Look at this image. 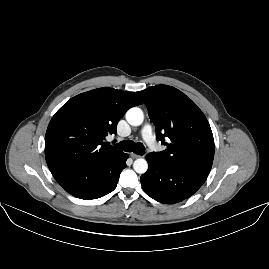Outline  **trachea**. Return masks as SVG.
I'll use <instances>...</instances> for the list:
<instances>
[{
    "instance_id": "trachea-1",
    "label": "trachea",
    "mask_w": 269,
    "mask_h": 269,
    "mask_svg": "<svg viewBox=\"0 0 269 269\" xmlns=\"http://www.w3.org/2000/svg\"><path fill=\"white\" fill-rule=\"evenodd\" d=\"M115 147L118 148L119 150L126 151V152L133 151L135 154H138V155H144L145 153V147L142 143L134 144V142H132L131 140L122 141L116 144Z\"/></svg>"
}]
</instances>
